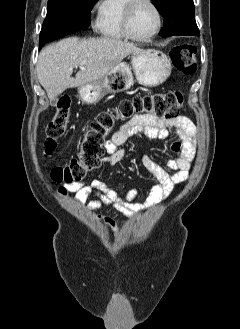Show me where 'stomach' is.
<instances>
[{"instance_id": "stomach-1", "label": "stomach", "mask_w": 240, "mask_h": 329, "mask_svg": "<svg viewBox=\"0 0 240 329\" xmlns=\"http://www.w3.org/2000/svg\"><path fill=\"white\" fill-rule=\"evenodd\" d=\"M170 73L171 63L166 54L156 49L142 50L132 54L131 66L120 62L104 77L81 85L79 98L86 104H96L107 93L130 89L134 84L133 74L139 84L156 87L166 81Z\"/></svg>"}]
</instances>
